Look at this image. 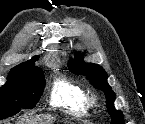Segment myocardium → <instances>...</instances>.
<instances>
[{
	"label": "myocardium",
	"mask_w": 145,
	"mask_h": 124,
	"mask_svg": "<svg viewBox=\"0 0 145 124\" xmlns=\"http://www.w3.org/2000/svg\"><path fill=\"white\" fill-rule=\"evenodd\" d=\"M97 103V96L95 94H90L88 98V106H94Z\"/></svg>",
	"instance_id": "obj_1"
}]
</instances>
